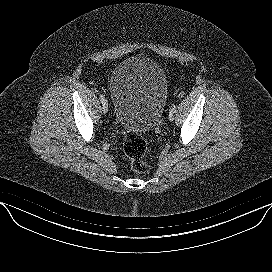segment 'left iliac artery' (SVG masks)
I'll return each mask as SVG.
<instances>
[{
	"instance_id": "left-iliac-artery-1",
	"label": "left iliac artery",
	"mask_w": 272,
	"mask_h": 272,
	"mask_svg": "<svg viewBox=\"0 0 272 272\" xmlns=\"http://www.w3.org/2000/svg\"><path fill=\"white\" fill-rule=\"evenodd\" d=\"M176 106H177V105L174 104V105L171 107V110H170V111L176 112Z\"/></svg>"
}]
</instances>
